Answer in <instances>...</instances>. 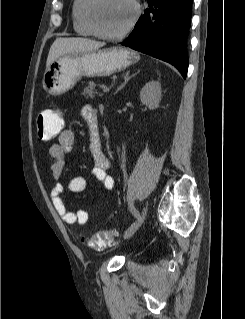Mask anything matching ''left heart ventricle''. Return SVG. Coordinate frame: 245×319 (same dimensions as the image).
Masks as SVG:
<instances>
[{
    "mask_svg": "<svg viewBox=\"0 0 245 319\" xmlns=\"http://www.w3.org/2000/svg\"><path fill=\"white\" fill-rule=\"evenodd\" d=\"M133 16L129 0H100L95 8V18L100 28L107 33L124 29Z\"/></svg>",
    "mask_w": 245,
    "mask_h": 319,
    "instance_id": "1",
    "label": "left heart ventricle"
}]
</instances>
